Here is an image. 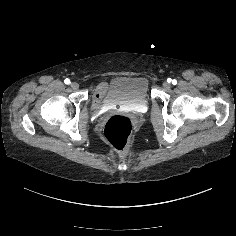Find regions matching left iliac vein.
Segmentation results:
<instances>
[{
  "instance_id": "4c4485c4",
  "label": "left iliac vein",
  "mask_w": 236,
  "mask_h": 236,
  "mask_svg": "<svg viewBox=\"0 0 236 236\" xmlns=\"http://www.w3.org/2000/svg\"><path fill=\"white\" fill-rule=\"evenodd\" d=\"M163 87H164L165 89H169V88L171 87V84H170L169 82L165 81V82L163 83Z\"/></svg>"
}]
</instances>
